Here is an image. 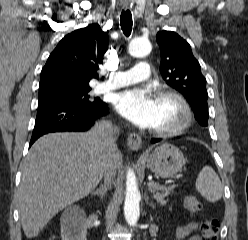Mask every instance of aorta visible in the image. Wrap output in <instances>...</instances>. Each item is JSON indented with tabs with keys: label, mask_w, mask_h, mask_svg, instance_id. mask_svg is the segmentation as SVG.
I'll list each match as a JSON object with an SVG mask.
<instances>
[{
	"label": "aorta",
	"mask_w": 248,
	"mask_h": 240,
	"mask_svg": "<svg viewBox=\"0 0 248 240\" xmlns=\"http://www.w3.org/2000/svg\"><path fill=\"white\" fill-rule=\"evenodd\" d=\"M151 44L147 39H134L130 42L128 52L133 57H145L151 52ZM141 195L138 190L137 179L133 170L128 169L126 175V196L124 202V216L130 226L136 225L140 215Z\"/></svg>",
	"instance_id": "aorta-1"
}]
</instances>
